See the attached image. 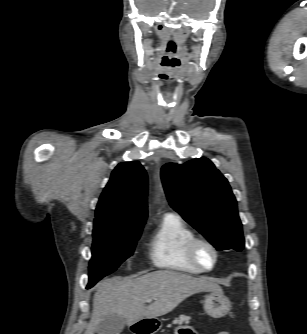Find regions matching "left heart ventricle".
<instances>
[{
	"label": "left heart ventricle",
	"instance_id": "b2bd125f",
	"mask_svg": "<svg viewBox=\"0 0 307 334\" xmlns=\"http://www.w3.org/2000/svg\"><path fill=\"white\" fill-rule=\"evenodd\" d=\"M197 256L203 266L211 267V265L213 264L214 255L208 247L204 245L198 246Z\"/></svg>",
	"mask_w": 307,
	"mask_h": 334
}]
</instances>
